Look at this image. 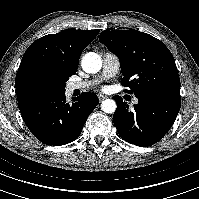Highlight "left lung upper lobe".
Returning a JSON list of instances; mask_svg holds the SVG:
<instances>
[{
	"instance_id": "obj_1",
	"label": "left lung upper lobe",
	"mask_w": 199,
	"mask_h": 199,
	"mask_svg": "<svg viewBox=\"0 0 199 199\" xmlns=\"http://www.w3.org/2000/svg\"><path fill=\"white\" fill-rule=\"evenodd\" d=\"M99 41L120 60L121 84L136 96L180 99V79L169 49L155 37L137 30L103 31Z\"/></svg>"
}]
</instances>
